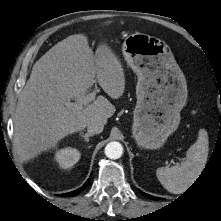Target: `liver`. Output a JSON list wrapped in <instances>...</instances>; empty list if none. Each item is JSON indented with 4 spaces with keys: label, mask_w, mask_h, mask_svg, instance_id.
<instances>
[{
    "label": "liver",
    "mask_w": 221,
    "mask_h": 221,
    "mask_svg": "<svg viewBox=\"0 0 221 221\" xmlns=\"http://www.w3.org/2000/svg\"><path fill=\"white\" fill-rule=\"evenodd\" d=\"M95 76L108 96L123 95L125 74L120 60L106 43H100L94 55L84 34L58 42L33 65L14 116V146L22 160L54 148L92 120L107 123L116 111L108 99L100 95L84 105ZM70 99L82 108L67 107Z\"/></svg>",
    "instance_id": "liver-1"
}]
</instances>
